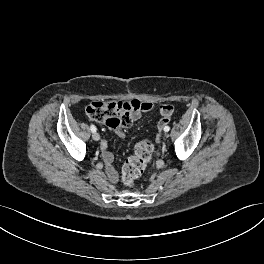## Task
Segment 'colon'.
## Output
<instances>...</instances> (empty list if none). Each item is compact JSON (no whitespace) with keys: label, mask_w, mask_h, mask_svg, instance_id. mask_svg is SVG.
Returning <instances> with one entry per match:
<instances>
[{"label":"colon","mask_w":264,"mask_h":264,"mask_svg":"<svg viewBox=\"0 0 264 264\" xmlns=\"http://www.w3.org/2000/svg\"><path fill=\"white\" fill-rule=\"evenodd\" d=\"M87 115L94 121L103 122L116 129L129 127L132 124L130 108L122 102H92L86 107ZM166 119H160L158 129L166 125ZM153 146L148 140H142L135 146L134 154L130 156L122 168V181L131 186L141 176L150 160Z\"/></svg>","instance_id":"colon-1"}]
</instances>
